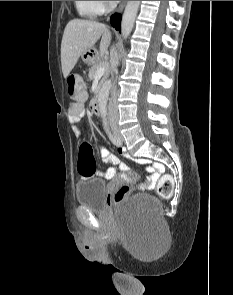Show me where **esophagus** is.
I'll use <instances>...</instances> for the list:
<instances>
[{
  "label": "esophagus",
  "instance_id": "obj_1",
  "mask_svg": "<svg viewBox=\"0 0 233 295\" xmlns=\"http://www.w3.org/2000/svg\"><path fill=\"white\" fill-rule=\"evenodd\" d=\"M125 5H126V1H121L120 5L118 7L117 12L118 13L122 12V10L124 9Z\"/></svg>",
  "mask_w": 233,
  "mask_h": 295
}]
</instances>
